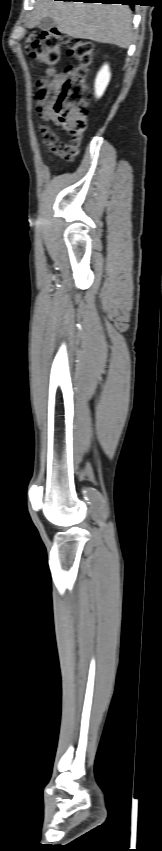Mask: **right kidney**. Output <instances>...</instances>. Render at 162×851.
<instances>
[{
    "instance_id": "ca27d5eb",
    "label": "right kidney",
    "mask_w": 162,
    "mask_h": 851,
    "mask_svg": "<svg viewBox=\"0 0 162 851\" xmlns=\"http://www.w3.org/2000/svg\"><path fill=\"white\" fill-rule=\"evenodd\" d=\"M110 77H111V73H110V70H109V66L107 64H105L100 69V71L98 72L96 79H95V86L94 87H95V95H96L97 98H100L103 95V93H104V91H105V89H106V87H107V85L110 81Z\"/></svg>"
}]
</instances>
